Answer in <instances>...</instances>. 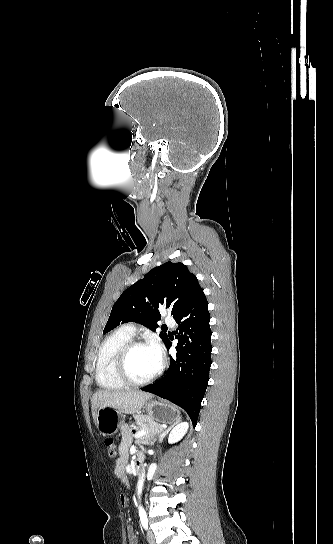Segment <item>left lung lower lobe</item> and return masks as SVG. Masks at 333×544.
I'll return each instance as SVG.
<instances>
[{"instance_id":"left-lung-lower-lobe-1","label":"left lung lower lobe","mask_w":333,"mask_h":544,"mask_svg":"<svg viewBox=\"0 0 333 544\" xmlns=\"http://www.w3.org/2000/svg\"><path fill=\"white\" fill-rule=\"evenodd\" d=\"M178 323L177 353L170 358L165 376L143 391L165 398L183 408L196 426L201 401L204 397L211 366L210 314L205 294L202 293L174 317ZM170 337L165 343L171 347Z\"/></svg>"}]
</instances>
